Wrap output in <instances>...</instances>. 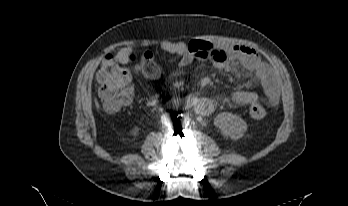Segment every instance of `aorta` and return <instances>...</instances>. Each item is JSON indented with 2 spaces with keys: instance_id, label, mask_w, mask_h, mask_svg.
Listing matches in <instances>:
<instances>
[{
  "instance_id": "1",
  "label": "aorta",
  "mask_w": 348,
  "mask_h": 206,
  "mask_svg": "<svg viewBox=\"0 0 348 206\" xmlns=\"http://www.w3.org/2000/svg\"><path fill=\"white\" fill-rule=\"evenodd\" d=\"M178 118H179V122L182 124V125H185L189 122V117L185 114H180L178 115Z\"/></svg>"
}]
</instances>
